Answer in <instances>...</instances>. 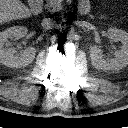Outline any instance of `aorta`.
Masks as SVG:
<instances>
[{
	"instance_id": "1",
	"label": "aorta",
	"mask_w": 128,
	"mask_h": 128,
	"mask_svg": "<svg viewBox=\"0 0 128 128\" xmlns=\"http://www.w3.org/2000/svg\"><path fill=\"white\" fill-rule=\"evenodd\" d=\"M61 33L66 35L67 37H70L74 33V29L70 26H62L60 29Z\"/></svg>"
}]
</instances>
